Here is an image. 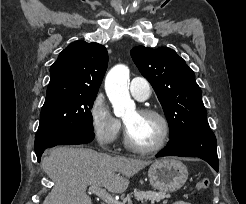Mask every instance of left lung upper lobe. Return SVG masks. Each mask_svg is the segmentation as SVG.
I'll use <instances>...</instances> for the list:
<instances>
[{
    "label": "left lung upper lobe",
    "instance_id": "left-lung-upper-lobe-1",
    "mask_svg": "<svg viewBox=\"0 0 246 204\" xmlns=\"http://www.w3.org/2000/svg\"><path fill=\"white\" fill-rule=\"evenodd\" d=\"M131 56L157 94L171 129L170 139L209 126L195 74L174 50L137 46Z\"/></svg>",
    "mask_w": 246,
    "mask_h": 204
}]
</instances>
